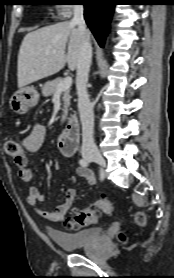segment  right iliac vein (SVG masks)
Instances as JSON below:
<instances>
[{
	"label": "right iliac vein",
	"instance_id": "right-iliac-vein-1",
	"mask_svg": "<svg viewBox=\"0 0 174 278\" xmlns=\"http://www.w3.org/2000/svg\"><path fill=\"white\" fill-rule=\"evenodd\" d=\"M85 159L95 161L101 167H105L106 163L99 151H91L85 154Z\"/></svg>",
	"mask_w": 174,
	"mask_h": 278
}]
</instances>
